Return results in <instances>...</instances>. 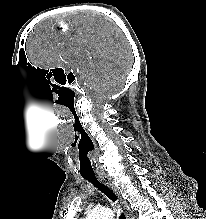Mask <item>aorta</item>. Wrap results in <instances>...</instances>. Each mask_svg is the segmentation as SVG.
Wrapping results in <instances>:
<instances>
[{
	"label": "aorta",
	"instance_id": "762f6f07",
	"mask_svg": "<svg viewBox=\"0 0 206 219\" xmlns=\"http://www.w3.org/2000/svg\"><path fill=\"white\" fill-rule=\"evenodd\" d=\"M113 211L109 208H101L92 210L86 219H113Z\"/></svg>",
	"mask_w": 206,
	"mask_h": 219
}]
</instances>
